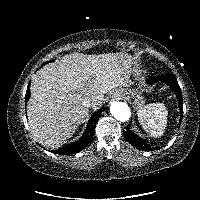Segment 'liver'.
Listing matches in <instances>:
<instances>
[{
  "mask_svg": "<svg viewBox=\"0 0 200 200\" xmlns=\"http://www.w3.org/2000/svg\"><path fill=\"white\" fill-rule=\"evenodd\" d=\"M133 57L126 53L87 55L72 53L47 64L33 77L27 104L29 126L42 146L59 148L88 117L84 98L93 108L115 87H127Z\"/></svg>",
  "mask_w": 200,
  "mask_h": 200,
  "instance_id": "6515ba94",
  "label": "liver"
}]
</instances>
